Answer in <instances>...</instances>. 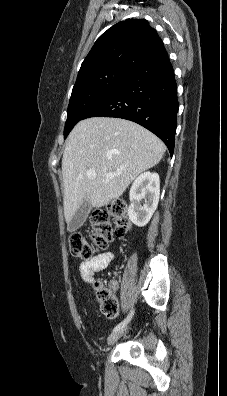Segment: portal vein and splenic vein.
Instances as JSON below:
<instances>
[{"label":"portal vein and splenic vein","instance_id":"portal-vein-and-splenic-vein-1","mask_svg":"<svg viewBox=\"0 0 227 396\" xmlns=\"http://www.w3.org/2000/svg\"><path fill=\"white\" fill-rule=\"evenodd\" d=\"M87 176H88L89 178H95V177H96V173H95L94 171H89V172H87ZM106 176H107L108 178H113V177H114L113 174H106Z\"/></svg>","mask_w":227,"mask_h":396}]
</instances>
